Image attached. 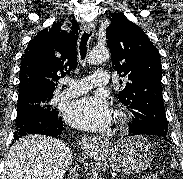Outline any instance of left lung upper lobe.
<instances>
[{"label":"left lung upper lobe","mask_w":183,"mask_h":179,"mask_svg":"<svg viewBox=\"0 0 183 179\" xmlns=\"http://www.w3.org/2000/svg\"><path fill=\"white\" fill-rule=\"evenodd\" d=\"M113 68L126 78L119 100L134 115V134L167 136L168 123L162 97L161 60L144 31L122 14L112 15L106 32Z\"/></svg>","instance_id":"obj_1"}]
</instances>
